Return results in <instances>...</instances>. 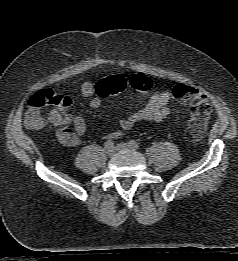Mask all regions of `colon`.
Wrapping results in <instances>:
<instances>
[{
	"mask_svg": "<svg viewBox=\"0 0 238 261\" xmlns=\"http://www.w3.org/2000/svg\"><path fill=\"white\" fill-rule=\"evenodd\" d=\"M128 88L145 93L151 90L152 82L145 75L137 74L130 79L118 75L110 76L96 84L97 93L103 97L119 94ZM173 96L177 101L190 108L191 118L187 126V135L192 141H200L204 136L211 114V106L207 97L201 90L185 84H177L173 88ZM69 105L70 99L68 97L51 89L40 90L33 94L28 101L26 123L30 128H40L46 120L45 109L50 107L63 109Z\"/></svg>",
	"mask_w": 238,
	"mask_h": 261,
	"instance_id": "5ec220e1",
	"label": "colon"
}]
</instances>
